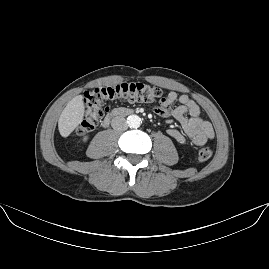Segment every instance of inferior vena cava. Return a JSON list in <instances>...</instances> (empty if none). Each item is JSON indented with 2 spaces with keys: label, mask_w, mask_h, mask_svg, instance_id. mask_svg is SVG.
I'll use <instances>...</instances> for the list:
<instances>
[{
  "label": "inferior vena cava",
  "mask_w": 269,
  "mask_h": 269,
  "mask_svg": "<svg viewBox=\"0 0 269 269\" xmlns=\"http://www.w3.org/2000/svg\"><path fill=\"white\" fill-rule=\"evenodd\" d=\"M111 126L117 131H125L128 128L127 121L121 116L114 117L111 121Z\"/></svg>",
  "instance_id": "obj_1"
}]
</instances>
